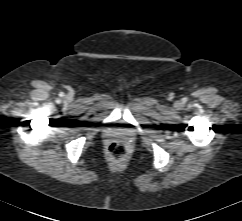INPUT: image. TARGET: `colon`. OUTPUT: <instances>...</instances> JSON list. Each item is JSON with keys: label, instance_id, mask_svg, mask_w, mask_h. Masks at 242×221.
Returning a JSON list of instances; mask_svg holds the SVG:
<instances>
[{"label": "colon", "instance_id": "5ec220e1", "mask_svg": "<svg viewBox=\"0 0 242 221\" xmlns=\"http://www.w3.org/2000/svg\"><path fill=\"white\" fill-rule=\"evenodd\" d=\"M109 154L115 159H122L126 156L127 151L124 144L112 142L108 148Z\"/></svg>", "mask_w": 242, "mask_h": 221}]
</instances>
